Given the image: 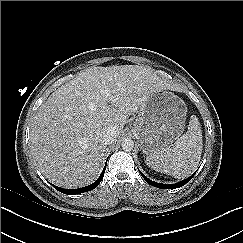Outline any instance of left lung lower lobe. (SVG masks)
Masks as SVG:
<instances>
[{
  "label": "left lung lower lobe",
  "instance_id": "obj_1",
  "mask_svg": "<svg viewBox=\"0 0 243 243\" xmlns=\"http://www.w3.org/2000/svg\"><path fill=\"white\" fill-rule=\"evenodd\" d=\"M195 173L192 176H190L189 178H187L183 181H180V182L175 183V184H169V185L154 182V181L150 180L149 178H147L142 173H141V175L145 179V181H147V183L150 184V185H153V186L161 188V189H175V188H179V187H182L183 185H185L188 181H190L192 179V177L195 175Z\"/></svg>",
  "mask_w": 243,
  "mask_h": 243
}]
</instances>
